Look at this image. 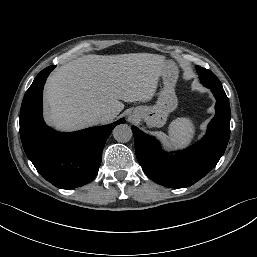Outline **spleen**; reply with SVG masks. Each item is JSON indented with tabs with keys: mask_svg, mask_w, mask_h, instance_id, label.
Instances as JSON below:
<instances>
[{
	"mask_svg": "<svg viewBox=\"0 0 257 257\" xmlns=\"http://www.w3.org/2000/svg\"><path fill=\"white\" fill-rule=\"evenodd\" d=\"M195 125L190 118H178L169 127V144L176 148H185L195 137Z\"/></svg>",
	"mask_w": 257,
	"mask_h": 257,
	"instance_id": "spleen-1",
	"label": "spleen"
}]
</instances>
